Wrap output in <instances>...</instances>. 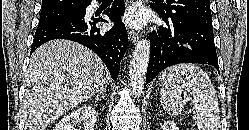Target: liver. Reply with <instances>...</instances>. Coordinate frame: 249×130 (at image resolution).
Instances as JSON below:
<instances>
[{
    "label": "liver",
    "mask_w": 249,
    "mask_h": 130,
    "mask_svg": "<svg viewBox=\"0 0 249 130\" xmlns=\"http://www.w3.org/2000/svg\"><path fill=\"white\" fill-rule=\"evenodd\" d=\"M110 80L103 61L68 40L40 46L26 72L24 110L27 130H46L60 116L92 98Z\"/></svg>",
    "instance_id": "liver-1"
}]
</instances>
